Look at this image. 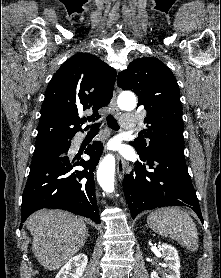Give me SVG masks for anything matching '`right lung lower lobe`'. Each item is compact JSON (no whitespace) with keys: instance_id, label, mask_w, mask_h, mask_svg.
Here are the masks:
<instances>
[{"instance_id":"98d812e1","label":"right lung lower lobe","mask_w":221,"mask_h":278,"mask_svg":"<svg viewBox=\"0 0 221 278\" xmlns=\"http://www.w3.org/2000/svg\"><path fill=\"white\" fill-rule=\"evenodd\" d=\"M101 142L89 145L85 153L90 160L68 157V149L52 154L30 167L22 196L21 221L42 208H59L100 223L95 197L94 170L102 154ZM82 166L83 170H73Z\"/></svg>"}]
</instances>
